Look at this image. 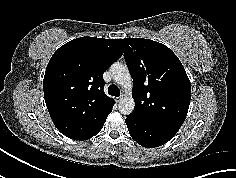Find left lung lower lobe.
Here are the masks:
<instances>
[{
	"label": "left lung lower lobe",
	"mask_w": 236,
	"mask_h": 178,
	"mask_svg": "<svg viewBox=\"0 0 236 178\" xmlns=\"http://www.w3.org/2000/svg\"><path fill=\"white\" fill-rule=\"evenodd\" d=\"M131 137L143 147H158L171 140L178 129L128 116L125 119Z\"/></svg>",
	"instance_id": "obj_1"
}]
</instances>
